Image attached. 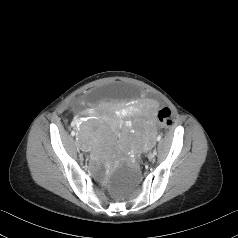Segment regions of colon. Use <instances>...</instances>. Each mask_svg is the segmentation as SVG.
Instances as JSON below:
<instances>
[{
  "mask_svg": "<svg viewBox=\"0 0 238 238\" xmlns=\"http://www.w3.org/2000/svg\"><path fill=\"white\" fill-rule=\"evenodd\" d=\"M156 117L163 128H168L171 124V112L168 108L163 107L157 110ZM114 175V172L111 169H108L100 179V184L102 186H107L111 177Z\"/></svg>",
  "mask_w": 238,
  "mask_h": 238,
  "instance_id": "5ec220e1",
  "label": "colon"
}]
</instances>
